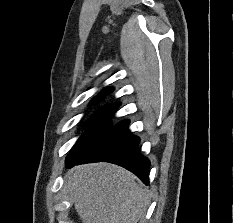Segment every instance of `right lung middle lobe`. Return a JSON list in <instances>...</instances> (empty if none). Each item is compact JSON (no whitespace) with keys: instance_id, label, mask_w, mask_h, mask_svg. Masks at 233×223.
Masks as SVG:
<instances>
[{"instance_id":"dd1d6c3e","label":"right lung middle lobe","mask_w":233,"mask_h":223,"mask_svg":"<svg viewBox=\"0 0 233 223\" xmlns=\"http://www.w3.org/2000/svg\"><path fill=\"white\" fill-rule=\"evenodd\" d=\"M105 95L106 94H100L94 97L91 101V104H95L101 101ZM119 106L120 104H113L99 110L89 122V125H93L94 128L81 136L75 147L72 149L70 155H82L89 148H91L104 134H106L112 127L110 118Z\"/></svg>"}]
</instances>
